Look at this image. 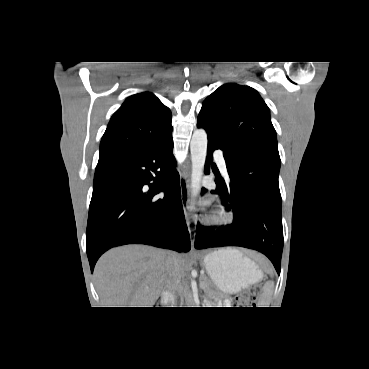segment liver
I'll return each instance as SVG.
<instances>
[{
    "label": "liver",
    "instance_id": "1",
    "mask_svg": "<svg viewBox=\"0 0 369 369\" xmlns=\"http://www.w3.org/2000/svg\"><path fill=\"white\" fill-rule=\"evenodd\" d=\"M168 256L173 259L172 285L175 287L187 267L182 255L142 245L122 246L106 252L94 270L103 307H153L170 278Z\"/></svg>",
    "mask_w": 369,
    "mask_h": 369
}]
</instances>
